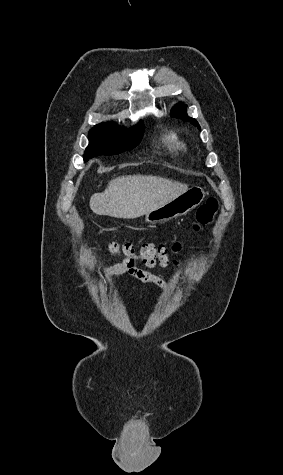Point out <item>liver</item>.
Returning a JSON list of instances; mask_svg holds the SVG:
<instances>
[{
	"label": "liver",
	"mask_w": 283,
	"mask_h": 475,
	"mask_svg": "<svg viewBox=\"0 0 283 475\" xmlns=\"http://www.w3.org/2000/svg\"><path fill=\"white\" fill-rule=\"evenodd\" d=\"M189 190L186 184L157 176H121L111 180L101 194H93L90 208L99 216L140 218Z\"/></svg>",
	"instance_id": "1"
}]
</instances>
